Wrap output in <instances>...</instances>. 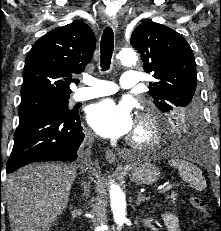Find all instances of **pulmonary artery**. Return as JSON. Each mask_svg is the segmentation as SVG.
<instances>
[{"instance_id":"pulmonary-artery-1","label":"pulmonary artery","mask_w":221,"mask_h":231,"mask_svg":"<svg viewBox=\"0 0 221 231\" xmlns=\"http://www.w3.org/2000/svg\"><path fill=\"white\" fill-rule=\"evenodd\" d=\"M138 82V73L134 71H126L122 74L120 87L123 89L135 88L138 85ZM84 83L87 87L79 88L73 94V100L76 102L111 95L118 91V87L114 83L91 76L84 78Z\"/></svg>"}]
</instances>
